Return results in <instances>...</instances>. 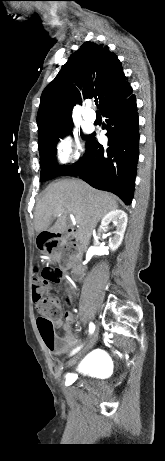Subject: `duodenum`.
Instances as JSON below:
<instances>
[{
	"label": "duodenum",
	"mask_w": 165,
	"mask_h": 461,
	"mask_svg": "<svg viewBox=\"0 0 165 461\" xmlns=\"http://www.w3.org/2000/svg\"><path fill=\"white\" fill-rule=\"evenodd\" d=\"M70 230L66 232H61L57 234V237L64 240V241H73L72 237L70 236Z\"/></svg>",
	"instance_id": "1"
}]
</instances>
